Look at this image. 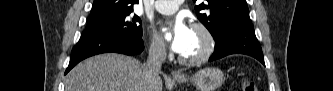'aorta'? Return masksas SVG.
Returning <instances> with one entry per match:
<instances>
[{
    "label": "aorta",
    "mask_w": 333,
    "mask_h": 91,
    "mask_svg": "<svg viewBox=\"0 0 333 91\" xmlns=\"http://www.w3.org/2000/svg\"><path fill=\"white\" fill-rule=\"evenodd\" d=\"M166 37H167V38H169V37H170V35H169V34H167V35H166Z\"/></svg>",
    "instance_id": "obj_1"
}]
</instances>
